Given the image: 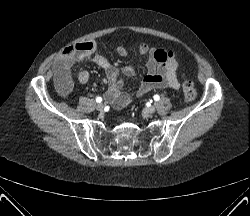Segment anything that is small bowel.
<instances>
[{
    "mask_svg": "<svg viewBox=\"0 0 250 216\" xmlns=\"http://www.w3.org/2000/svg\"><path fill=\"white\" fill-rule=\"evenodd\" d=\"M141 54L147 55V75L136 91L137 97H142L153 89L170 87L180 88V81L177 74L178 62L172 51L156 49L142 42L138 46ZM117 52L121 56L126 55V49L123 46L117 47ZM91 57L93 62L102 68L105 72L108 90L106 98L117 108L121 109L127 106L132 97L122 90L121 75L134 77L135 70L132 67H125L118 70L102 55L96 53V44L93 41H86L76 44L72 52L59 58L56 66V86L63 95H68L73 88L72 81L69 78V69L71 65L82 59ZM90 75L87 71H81L78 74L80 83H87Z\"/></svg>",
    "mask_w": 250,
    "mask_h": 216,
    "instance_id": "small-bowel-1",
    "label": "small bowel"
}]
</instances>
